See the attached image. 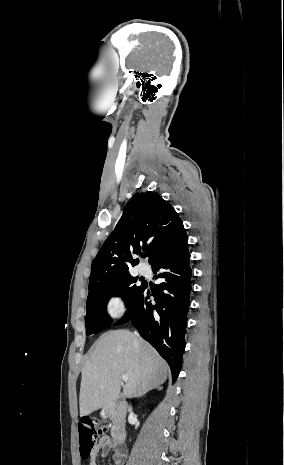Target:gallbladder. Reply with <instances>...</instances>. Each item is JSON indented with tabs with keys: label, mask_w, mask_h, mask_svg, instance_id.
I'll use <instances>...</instances> for the list:
<instances>
[{
	"label": "gallbladder",
	"mask_w": 284,
	"mask_h": 465,
	"mask_svg": "<svg viewBox=\"0 0 284 465\" xmlns=\"http://www.w3.org/2000/svg\"><path fill=\"white\" fill-rule=\"evenodd\" d=\"M122 399H116V405H118V403H121Z\"/></svg>",
	"instance_id": "1"
}]
</instances>
